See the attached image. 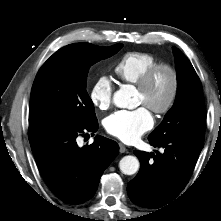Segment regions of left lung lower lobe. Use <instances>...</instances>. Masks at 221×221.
I'll return each instance as SVG.
<instances>
[{"label":"left lung lower lobe","mask_w":221,"mask_h":221,"mask_svg":"<svg viewBox=\"0 0 221 221\" xmlns=\"http://www.w3.org/2000/svg\"><path fill=\"white\" fill-rule=\"evenodd\" d=\"M164 153L154 155L134 151L140 160V171L127 186L131 201L141 207L157 209L173 201L185 188L194 170L203 141L185 137L150 140Z\"/></svg>","instance_id":"obj_1"}]
</instances>
